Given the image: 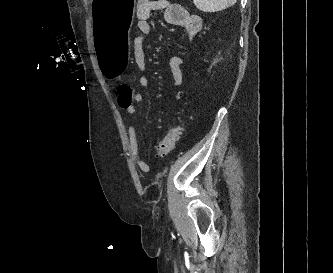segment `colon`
Listing matches in <instances>:
<instances>
[{
	"instance_id": "1",
	"label": "colon",
	"mask_w": 333,
	"mask_h": 273,
	"mask_svg": "<svg viewBox=\"0 0 333 273\" xmlns=\"http://www.w3.org/2000/svg\"><path fill=\"white\" fill-rule=\"evenodd\" d=\"M117 95L118 104L121 108L127 109L133 105L134 94L130 85L126 83L120 84L117 88ZM181 131V126H173L167 131L165 136L158 141L156 151L159 157H165L175 148Z\"/></svg>"
}]
</instances>
